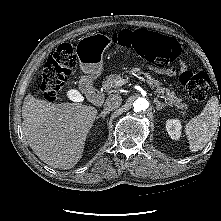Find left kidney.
<instances>
[{"label":"left kidney","mask_w":221,"mask_h":221,"mask_svg":"<svg viewBox=\"0 0 221 221\" xmlns=\"http://www.w3.org/2000/svg\"><path fill=\"white\" fill-rule=\"evenodd\" d=\"M166 130L169 136L174 139L178 140L181 136L182 125L179 119H168L166 121Z\"/></svg>","instance_id":"5707ae66"}]
</instances>
